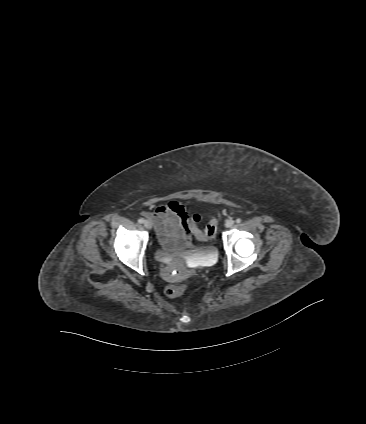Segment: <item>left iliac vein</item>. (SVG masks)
<instances>
[{
	"instance_id": "left-iliac-vein-1",
	"label": "left iliac vein",
	"mask_w": 366,
	"mask_h": 424,
	"mask_svg": "<svg viewBox=\"0 0 366 424\" xmlns=\"http://www.w3.org/2000/svg\"><path fill=\"white\" fill-rule=\"evenodd\" d=\"M233 225H234V221L232 219H229L225 222V226L227 228H231V227H233Z\"/></svg>"
}]
</instances>
